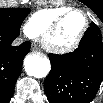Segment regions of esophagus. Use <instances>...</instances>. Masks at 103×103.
Masks as SVG:
<instances>
[{"label":"esophagus","instance_id":"esophagus-1","mask_svg":"<svg viewBox=\"0 0 103 103\" xmlns=\"http://www.w3.org/2000/svg\"><path fill=\"white\" fill-rule=\"evenodd\" d=\"M32 50L33 51H37L38 50V48H37V46L35 44L32 45Z\"/></svg>","mask_w":103,"mask_h":103}]
</instances>
